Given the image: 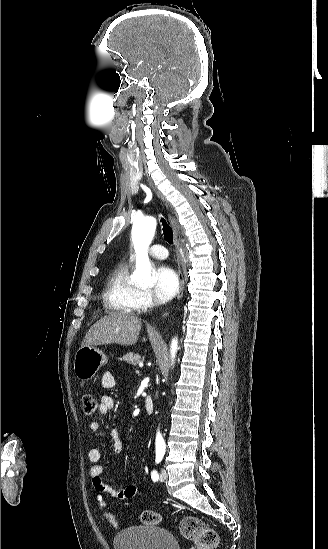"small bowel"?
<instances>
[{
	"instance_id": "1",
	"label": "small bowel",
	"mask_w": 328,
	"mask_h": 549,
	"mask_svg": "<svg viewBox=\"0 0 328 549\" xmlns=\"http://www.w3.org/2000/svg\"><path fill=\"white\" fill-rule=\"evenodd\" d=\"M101 384L106 389L114 388L116 384L114 375L111 372H105L102 376ZM113 407L114 399L109 395H104L101 397L98 405V412L101 415H107L111 412ZM89 427L92 431L96 432L100 430L101 423L98 420H93L90 422ZM110 434L113 438V455L117 457L122 452V443L117 438L118 433L116 430H112ZM134 457L136 458V455H134ZM87 458L89 461V475L95 489L98 492H102L103 494H107L118 500H129L135 497L138 491L135 484H130L124 488H115L104 481L103 467L100 464L101 451L99 449H90L87 454Z\"/></svg>"
}]
</instances>
